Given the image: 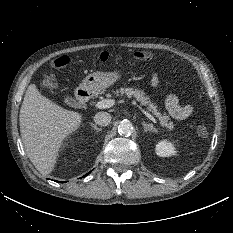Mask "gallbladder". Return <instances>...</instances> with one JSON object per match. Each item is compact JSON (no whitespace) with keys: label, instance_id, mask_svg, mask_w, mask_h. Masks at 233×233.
Segmentation results:
<instances>
[{"label":"gallbladder","instance_id":"gallbladder-1","mask_svg":"<svg viewBox=\"0 0 233 233\" xmlns=\"http://www.w3.org/2000/svg\"><path fill=\"white\" fill-rule=\"evenodd\" d=\"M64 101L72 107L76 106V101L70 96H65Z\"/></svg>","mask_w":233,"mask_h":233}]
</instances>
